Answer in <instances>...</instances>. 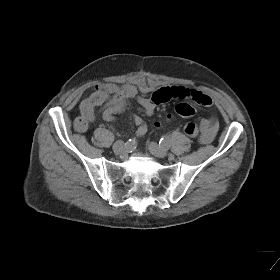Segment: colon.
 I'll return each mask as SVG.
<instances>
[{
  "label": "colon",
  "mask_w": 280,
  "mask_h": 280,
  "mask_svg": "<svg viewBox=\"0 0 280 280\" xmlns=\"http://www.w3.org/2000/svg\"><path fill=\"white\" fill-rule=\"evenodd\" d=\"M176 112L183 117H191L194 115L195 110L191 105L187 103H181L176 106ZM157 126H160V123H157ZM75 127L77 130L84 129L86 127L85 120L82 117L77 118L75 121ZM197 130V125L192 122L188 123L185 127V132L190 136H193L195 133H197Z\"/></svg>",
  "instance_id": "colon-1"
}]
</instances>
